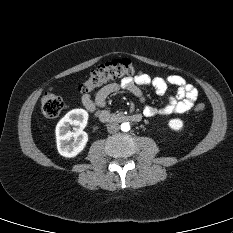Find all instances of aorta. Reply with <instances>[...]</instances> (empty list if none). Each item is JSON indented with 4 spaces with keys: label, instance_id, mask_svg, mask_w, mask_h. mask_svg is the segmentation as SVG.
<instances>
[{
    "label": "aorta",
    "instance_id": "obj_1",
    "mask_svg": "<svg viewBox=\"0 0 233 233\" xmlns=\"http://www.w3.org/2000/svg\"><path fill=\"white\" fill-rule=\"evenodd\" d=\"M120 127L123 132H128L130 130V124L128 122L122 123Z\"/></svg>",
    "mask_w": 233,
    "mask_h": 233
}]
</instances>
